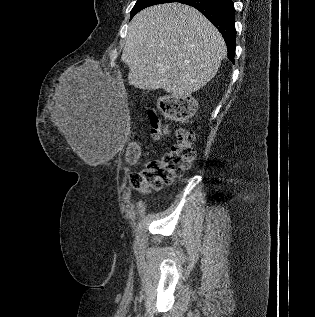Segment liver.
Wrapping results in <instances>:
<instances>
[{
	"label": "liver",
	"mask_w": 315,
	"mask_h": 317,
	"mask_svg": "<svg viewBox=\"0 0 315 317\" xmlns=\"http://www.w3.org/2000/svg\"><path fill=\"white\" fill-rule=\"evenodd\" d=\"M227 49L223 37L196 9L180 3L156 5L134 16L121 60L139 89H164L187 98L217 73ZM52 120L83 157V121L72 90H56Z\"/></svg>",
	"instance_id": "liver-1"
}]
</instances>
